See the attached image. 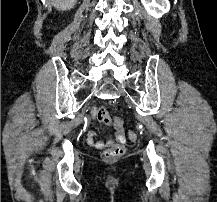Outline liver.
I'll return each mask as SVG.
<instances>
[{
	"instance_id": "liver-1",
	"label": "liver",
	"mask_w": 217,
	"mask_h": 202,
	"mask_svg": "<svg viewBox=\"0 0 217 202\" xmlns=\"http://www.w3.org/2000/svg\"><path fill=\"white\" fill-rule=\"evenodd\" d=\"M47 2H50L51 6H54L56 10L65 12V10H71V8L75 6L77 0H47Z\"/></svg>"
}]
</instances>
